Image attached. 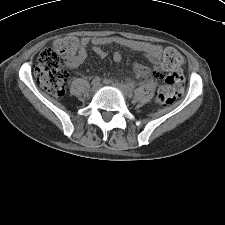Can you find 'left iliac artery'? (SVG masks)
<instances>
[{
    "label": "left iliac artery",
    "instance_id": "44dca946",
    "mask_svg": "<svg viewBox=\"0 0 225 225\" xmlns=\"http://www.w3.org/2000/svg\"><path fill=\"white\" fill-rule=\"evenodd\" d=\"M128 88H129V90H134L135 85L133 83H129Z\"/></svg>",
    "mask_w": 225,
    "mask_h": 225
}]
</instances>
